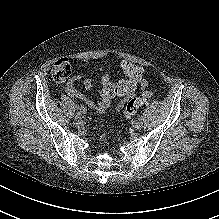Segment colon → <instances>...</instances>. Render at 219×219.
<instances>
[{"mask_svg": "<svg viewBox=\"0 0 219 219\" xmlns=\"http://www.w3.org/2000/svg\"><path fill=\"white\" fill-rule=\"evenodd\" d=\"M122 71L125 79L117 82L110 80L108 76L101 79L102 109L106 110L110 106V101L116 97H126L122 104L125 118H132L138 109L147 102V96H136L135 89L142 81V69L130 62L122 64ZM71 75V63L69 59L62 58L55 62L52 68V77L56 82H64Z\"/></svg>", "mask_w": 219, "mask_h": 219, "instance_id": "colon-1", "label": "colon"}]
</instances>
